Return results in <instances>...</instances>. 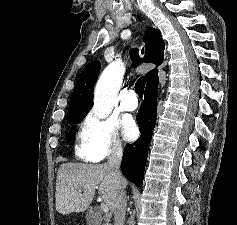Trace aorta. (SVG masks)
Segmentation results:
<instances>
[{"instance_id":"762f6f07","label":"aorta","mask_w":237,"mask_h":225,"mask_svg":"<svg viewBox=\"0 0 237 225\" xmlns=\"http://www.w3.org/2000/svg\"><path fill=\"white\" fill-rule=\"evenodd\" d=\"M124 74V67L120 60L109 64L102 72L94 91L93 113L104 119L110 115L116 102Z\"/></svg>"}]
</instances>
